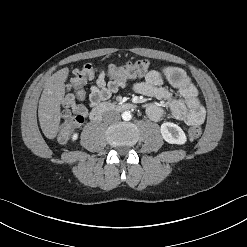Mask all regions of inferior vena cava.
Masks as SVG:
<instances>
[{
    "label": "inferior vena cava",
    "mask_w": 247,
    "mask_h": 247,
    "mask_svg": "<svg viewBox=\"0 0 247 247\" xmlns=\"http://www.w3.org/2000/svg\"><path fill=\"white\" fill-rule=\"evenodd\" d=\"M104 119L107 121H118L120 119V114L118 112H107L104 114Z\"/></svg>",
    "instance_id": "inferior-vena-cava-1"
}]
</instances>
